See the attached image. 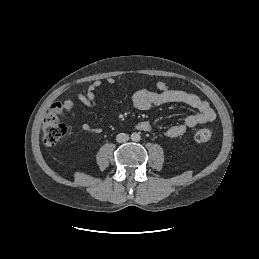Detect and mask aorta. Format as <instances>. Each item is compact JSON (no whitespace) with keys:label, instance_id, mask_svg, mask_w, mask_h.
<instances>
[{"label":"aorta","instance_id":"obj_1","mask_svg":"<svg viewBox=\"0 0 259 259\" xmlns=\"http://www.w3.org/2000/svg\"><path fill=\"white\" fill-rule=\"evenodd\" d=\"M132 140L133 141H139L140 140V135L139 134H132Z\"/></svg>","mask_w":259,"mask_h":259}]
</instances>
